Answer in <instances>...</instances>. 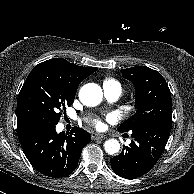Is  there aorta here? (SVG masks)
<instances>
[{
	"label": "aorta",
	"mask_w": 194,
	"mask_h": 194,
	"mask_svg": "<svg viewBox=\"0 0 194 194\" xmlns=\"http://www.w3.org/2000/svg\"><path fill=\"white\" fill-rule=\"evenodd\" d=\"M102 97V89L95 83H88L79 91V99L86 106L99 105ZM104 148L108 154H115L120 150V143L116 139H109L104 143Z\"/></svg>",
	"instance_id": "762f6f07"
}]
</instances>
